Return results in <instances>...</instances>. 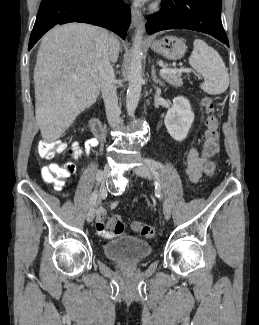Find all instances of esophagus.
Instances as JSON below:
<instances>
[{
  "instance_id": "34e87169",
  "label": "esophagus",
  "mask_w": 259,
  "mask_h": 325,
  "mask_svg": "<svg viewBox=\"0 0 259 325\" xmlns=\"http://www.w3.org/2000/svg\"><path fill=\"white\" fill-rule=\"evenodd\" d=\"M131 19H132V24L134 26L143 29V18L141 12L138 9L136 8L131 9Z\"/></svg>"
}]
</instances>
